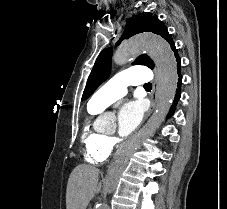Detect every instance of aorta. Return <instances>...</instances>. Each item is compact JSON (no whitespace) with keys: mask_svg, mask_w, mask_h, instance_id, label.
<instances>
[{"mask_svg":"<svg viewBox=\"0 0 227 209\" xmlns=\"http://www.w3.org/2000/svg\"><path fill=\"white\" fill-rule=\"evenodd\" d=\"M147 51L153 59L159 76V94L157 112L140 138L130 144L124 145L116 153L114 160L109 165L104 191L111 194L116 189L119 178L126 168L133 153L140 146L141 141L152 136L165 116L168 114L177 89V66L174 53L170 45L161 37L152 34L135 36L125 42L116 50L113 62L116 65L126 64L130 58ZM107 204H102L100 209H108Z\"/></svg>","mask_w":227,"mask_h":209,"instance_id":"aorta-1","label":"aorta"}]
</instances>
